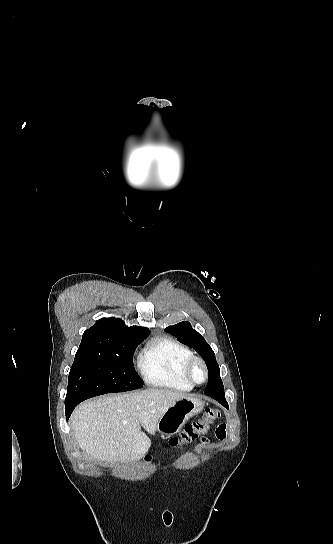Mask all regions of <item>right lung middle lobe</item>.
<instances>
[{"label":"right lung middle lobe","instance_id":"obj_1","mask_svg":"<svg viewBox=\"0 0 333 544\" xmlns=\"http://www.w3.org/2000/svg\"><path fill=\"white\" fill-rule=\"evenodd\" d=\"M145 338L116 340L104 352L77 351L69 373L65 404L141 388L143 381L135 372L132 357Z\"/></svg>","mask_w":333,"mask_h":544}]
</instances>
